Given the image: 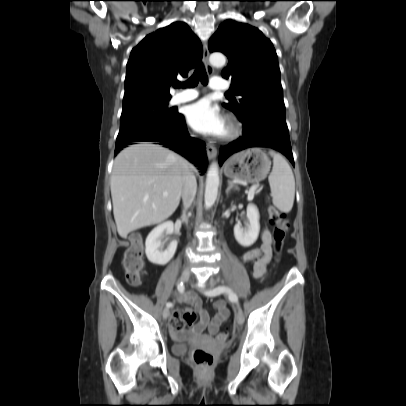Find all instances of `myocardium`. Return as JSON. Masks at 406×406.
I'll use <instances>...</instances> for the list:
<instances>
[{
    "label": "myocardium",
    "mask_w": 406,
    "mask_h": 406,
    "mask_svg": "<svg viewBox=\"0 0 406 406\" xmlns=\"http://www.w3.org/2000/svg\"><path fill=\"white\" fill-rule=\"evenodd\" d=\"M241 133V125L233 116H228L226 119V131L221 138L224 141H230L237 138Z\"/></svg>",
    "instance_id": "myocardium-1"
}]
</instances>
